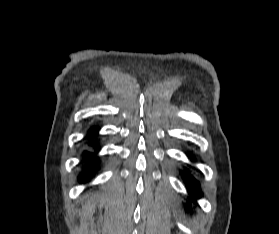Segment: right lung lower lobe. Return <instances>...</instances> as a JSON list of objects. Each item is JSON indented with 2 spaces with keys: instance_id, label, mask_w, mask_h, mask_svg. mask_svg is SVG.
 I'll list each match as a JSON object with an SVG mask.
<instances>
[{
  "instance_id": "right-lung-lower-lobe-1",
  "label": "right lung lower lobe",
  "mask_w": 279,
  "mask_h": 234,
  "mask_svg": "<svg viewBox=\"0 0 279 234\" xmlns=\"http://www.w3.org/2000/svg\"><path fill=\"white\" fill-rule=\"evenodd\" d=\"M97 130H98L97 128H93L92 134L97 132ZM97 148L98 147H96V149ZM84 155L87 158V166L84 167L83 174L79 178V181L81 183L85 182V180L88 178V176H90V174L97 168V160H96L95 156L88 152H85Z\"/></svg>"
}]
</instances>
